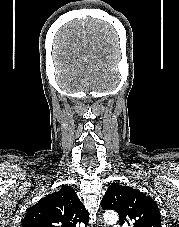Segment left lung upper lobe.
Masks as SVG:
<instances>
[{
	"label": "left lung upper lobe",
	"mask_w": 179,
	"mask_h": 227,
	"mask_svg": "<svg viewBox=\"0 0 179 227\" xmlns=\"http://www.w3.org/2000/svg\"><path fill=\"white\" fill-rule=\"evenodd\" d=\"M101 206L104 210H116L121 225L161 227L160 211L155 201L131 187L113 183L108 187Z\"/></svg>",
	"instance_id": "1"
}]
</instances>
